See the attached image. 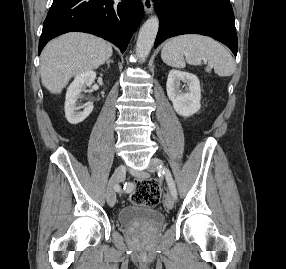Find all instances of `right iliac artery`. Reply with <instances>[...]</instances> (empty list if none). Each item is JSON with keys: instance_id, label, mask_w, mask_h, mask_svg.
<instances>
[{"instance_id": "82829eb1", "label": "right iliac artery", "mask_w": 286, "mask_h": 269, "mask_svg": "<svg viewBox=\"0 0 286 269\" xmlns=\"http://www.w3.org/2000/svg\"><path fill=\"white\" fill-rule=\"evenodd\" d=\"M129 185H130V184H128V185L125 184L123 189L126 190V189L129 187ZM114 189L117 190V191H120V187H119L118 185H116V186L114 187Z\"/></svg>"}]
</instances>
